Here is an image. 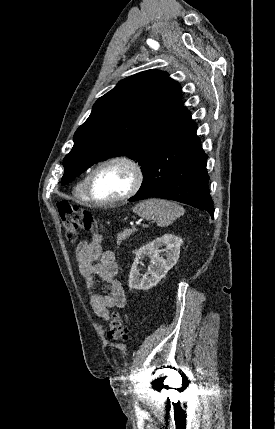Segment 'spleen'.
Segmentation results:
<instances>
[{
    "label": "spleen",
    "instance_id": "1",
    "mask_svg": "<svg viewBox=\"0 0 275 429\" xmlns=\"http://www.w3.org/2000/svg\"><path fill=\"white\" fill-rule=\"evenodd\" d=\"M133 212L146 220H154L158 226L167 227L184 214V209L163 199L144 200L133 207Z\"/></svg>",
    "mask_w": 275,
    "mask_h": 429
}]
</instances>
